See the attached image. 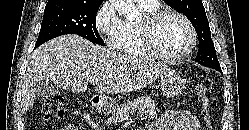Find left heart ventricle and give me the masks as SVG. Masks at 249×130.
<instances>
[{"label":"left heart ventricle","mask_w":249,"mask_h":130,"mask_svg":"<svg viewBox=\"0 0 249 130\" xmlns=\"http://www.w3.org/2000/svg\"><path fill=\"white\" fill-rule=\"evenodd\" d=\"M190 34L185 23L174 16L160 21L155 30L157 47L167 55H178L188 46Z\"/></svg>","instance_id":"left-heart-ventricle-1"}]
</instances>
